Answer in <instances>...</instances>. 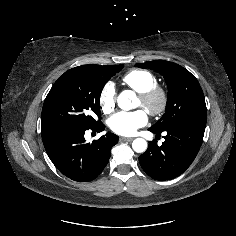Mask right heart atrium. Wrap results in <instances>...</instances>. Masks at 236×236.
Returning a JSON list of instances; mask_svg holds the SVG:
<instances>
[{
  "mask_svg": "<svg viewBox=\"0 0 236 236\" xmlns=\"http://www.w3.org/2000/svg\"><path fill=\"white\" fill-rule=\"evenodd\" d=\"M99 104L104 114H110L116 104V90L112 82L106 83L99 94Z\"/></svg>",
  "mask_w": 236,
  "mask_h": 236,
  "instance_id": "right-heart-atrium-1",
  "label": "right heart atrium"
}]
</instances>
